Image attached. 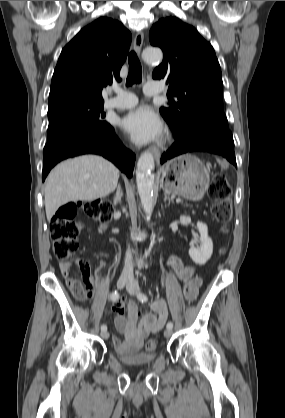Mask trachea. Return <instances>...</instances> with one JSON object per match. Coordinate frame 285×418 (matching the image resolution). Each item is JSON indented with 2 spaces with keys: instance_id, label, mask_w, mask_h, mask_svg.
<instances>
[{
  "instance_id": "1",
  "label": "trachea",
  "mask_w": 285,
  "mask_h": 418,
  "mask_svg": "<svg viewBox=\"0 0 285 418\" xmlns=\"http://www.w3.org/2000/svg\"><path fill=\"white\" fill-rule=\"evenodd\" d=\"M129 73L126 84L131 86L134 83H140L142 80V67L141 63L134 51H131L128 57Z\"/></svg>"
}]
</instances>
